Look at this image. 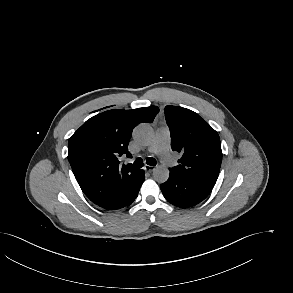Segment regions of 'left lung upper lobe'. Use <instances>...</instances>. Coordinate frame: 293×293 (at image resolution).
Wrapping results in <instances>:
<instances>
[{"instance_id": "1", "label": "left lung upper lobe", "mask_w": 293, "mask_h": 293, "mask_svg": "<svg viewBox=\"0 0 293 293\" xmlns=\"http://www.w3.org/2000/svg\"><path fill=\"white\" fill-rule=\"evenodd\" d=\"M173 151L183 155L170 171L189 179L215 184L222 162L218 133L197 113L178 106L164 109Z\"/></svg>"}]
</instances>
